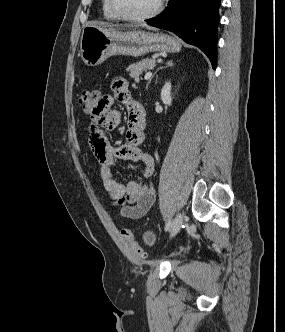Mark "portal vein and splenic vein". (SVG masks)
Listing matches in <instances>:
<instances>
[{
    "label": "portal vein and splenic vein",
    "instance_id": "18ae733b",
    "mask_svg": "<svg viewBox=\"0 0 285 332\" xmlns=\"http://www.w3.org/2000/svg\"><path fill=\"white\" fill-rule=\"evenodd\" d=\"M152 76V73L151 72H147L144 76V79L147 80L149 79L150 77Z\"/></svg>",
    "mask_w": 285,
    "mask_h": 332
}]
</instances>
